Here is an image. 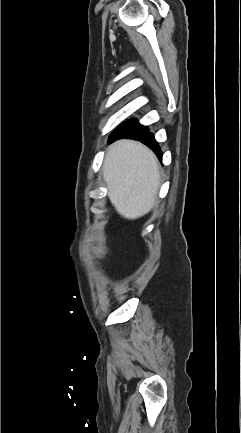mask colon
<instances>
[{
    "instance_id": "1",
    "label": "colon",
    "mask_w": 241,
    "mask_h": 433,
    "mask_svg": "<svg viewBox=\"0 0 241 433\" xmlns=\"http://www.w3.org/2000/svg\"><path fill=\"white\" fill-rule=\"evenodd\" d=\"M98 252H99V253H103V247H102V246H99V250H98Z\"/></svg>"
}]
</instances>
